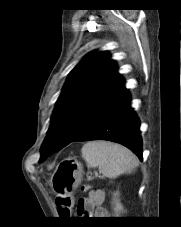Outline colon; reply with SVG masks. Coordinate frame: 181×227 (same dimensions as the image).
<instances>
[{"label":"colon","mask_w":181,"mask_h":227,"mask_svg":"<svg viewBox=\"0 0 181 227\" xmlns=\"http://www.w3.org/2000/svg\"><path fill=\"white\" fill-rule=\"evenodd\" d=\"M88 189L87 186H83L82 190ZM57 204L59 206V212L61 215H69L73 207V201L69 196H59L57 198Z\"/></svg>","instance_id":"1"}]
</instances>
